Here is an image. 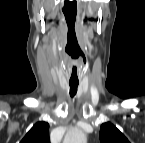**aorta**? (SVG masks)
<instances>
[{"mask_svg": "<svg viewBox=\"0 0 145 143\" xmlns=\"http://www.w3.org/2000/svg\"><path fill=\"white\" fill-rule=\"evenodd\" d=\"M85 141L86 135L78 129L69 131L64 139V143H85Z\"/></svg>", "mask_w": 145, "mask_h": 143, "instance_id": "aorta-1", "label": "aorta"}]
</instances>
